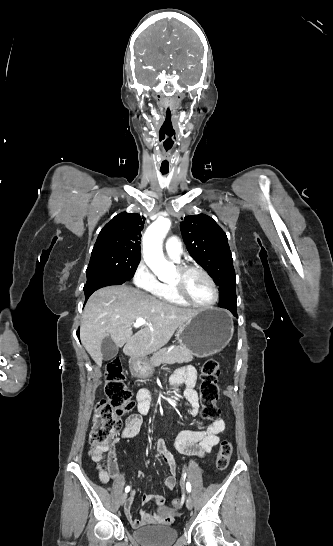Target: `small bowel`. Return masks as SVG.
Instances as JSON below:
<instances>
[{
	"label": "small bowel",
	"instance_id": "obj_1",
	"mask_svg": "<svg viewBox=\"0 0 333 546\" xmlns=\"http://www.w3.org/2000/svg\"><path fill=\"white\" fill-rule=\"evenodd\" d=\"M197 381V372L193 366H185L178 369L171 377L172 385H184V397L189 403L190 414L196 415L199 404L198 396L195 390ZM138 413L131 414L125 421L124 429L121 437L124 440L133 438L138 434L143 425V416L147 415L151 409L152 395L149 389L141 388L136 394ZM225 429V421L219 417L214 420L205 429H186L180 432L174 442L175 449L183 455L203 457L210 453L212 448L216 446L221 439V434ZM106 454V462L103 458ZM157 455L169 467L171 474L165 479L164 485L168 490L175 488L177 483V464L167 450V442L161 439L157 443ZM90 457L95 464L99 479L106 484L112 479H117L120 476V469L117 464L115 450L112 445L94 447L90 451ZM134 501V492L131 493L129 499L124 505V513L129 523L133 528H139L146 525H168L173 521L174 515L170 509L164 506V498L162 496H153L145 493L141 496L142 504L154 503L159 512L152 513L140 511L139 517L132 515V504Z\"/></svg>",
	"mask_w": 333,
	"mask_h": 546
}]
</instances>
